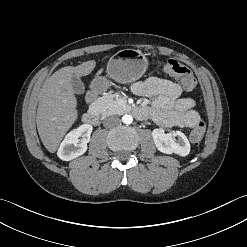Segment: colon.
<instances>
[{"label": "colon", "mask_w": 247, "mask_h": 247, "mask_svg": "<svg viewBox=\"0 0 247 247\" xmlns=\"http://www.w3.org/2000/svg\"><path fill=\"white\" fill-rule=\"evenodd\" d=\"M160 68L167 74L175 77L186 90L194 89L196 85V80L191 72V70L180 63L177 60L169 59L166 62L159 65ZM205 133V125L202 122H199L190 133V140L198 144L202 141Z\"/></svg>", "instance_id": "colon-1"}]
</instances>
